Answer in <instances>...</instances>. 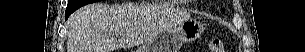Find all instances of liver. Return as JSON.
Segmentation results:
<instances>
[{
    "mask_svg": "<svg viewBox=\"0 0 305 52\" xmlns=\"http://www.w3.org/2000/svg\"><path fill=\"white\" fill-rule=\"evenodd\" d=\"M160 32L150 24L145 6L89 4L68 20L67 52H113L146 43Z\"/></svg>",
    "mask_w": 305,
    "mask_h": 52,
    "instance_id": "1",
    "label": "liver"
}]
</instances>
